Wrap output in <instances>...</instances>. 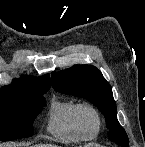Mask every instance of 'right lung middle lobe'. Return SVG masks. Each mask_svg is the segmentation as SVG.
<instances>
[{"instance_id": "1", "label": "right lung middle lobe", "mask_w": 145, "mask_h": 147, "mask_svg": "<svg viewBox=\"0 0 145 147\" xmlns=\"http://www.w3.org/2000/svg\"><path fill=\"white\" fill-rule=\"evenodd\" d=\"M49 89H27L0 95V141L30 137L33 122Z\"/></svg>"}]
</instances>
